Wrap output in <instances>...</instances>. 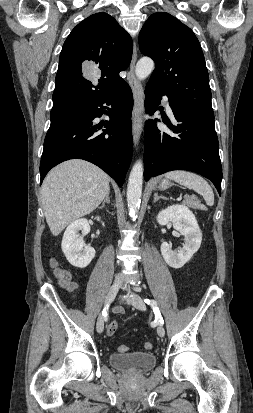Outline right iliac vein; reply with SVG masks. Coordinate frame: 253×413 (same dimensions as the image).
Wrapping results in <instances>:
<instances>
[{"label":"right iliac vein","mask_w":253,"mask_h":413,"mask_svg":"<svg viewBox=\"0 0 253 413\" xmlns=\"http://www.w3.org/2000/svg\"><path fill=\"white\" fill-rule=\"evenodd\" d=\"M119 288H120V283H119L118 281H116V282H114V283L112 284V286L110 287V289H109V291H108V294H107V296H106V299H105V306H107V305L114 299V297H115L116 294L118 293ZM96 329H97V332H98V333H102V332H103V329H104V318H103L102 315H100V316L98 317L97 324H96Z\"/></svg>","instance_id":"63e3f726"}]
</instances>
